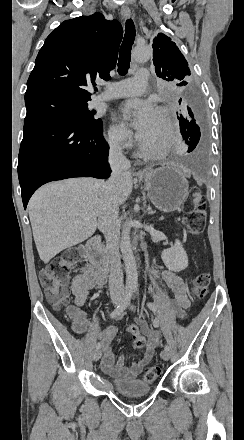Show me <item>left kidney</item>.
<instances>
[{"instance_id":"obj_1","label":"left kidney","mask_w":244,"mask_h":440,"mask_svg":"<svg viewBox=\"0 0 244 440\" xmlns=\"http://www.w3.org/2000/svg\"><path fill=\"white\" fill-rule=\"evenodd\" d=\"M162 260L171 272H181L185 270L188 266V256L180 242V240H175V246L172 248H167L162 252Z\"/></svg>"}]
</instances>
